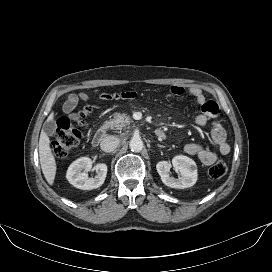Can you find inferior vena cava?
I'll use <instances>...</instances> for the list:
<instances>
[{
    "mask_svg": "<svg viewBox=\"0 0 272 272\" xmlns=\"http://www.w3.org/2000/svg\"><path fill=\"white\" fill-rule=\"evenodd\" d=\"M119 143V138L115 136H107L102 140L100 147L104 152H111L118 147Z\"/></svg>",
    "mask_w": 272,
    "mask_h": 272,
    "instance_id": "obj_1",
    "label": "inferior vena cava"
}]
</instances>
